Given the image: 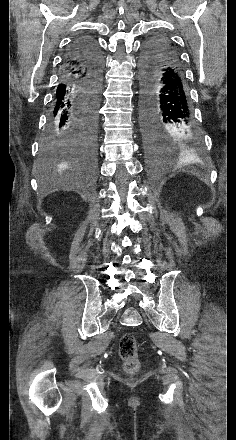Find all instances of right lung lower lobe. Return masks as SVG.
Returning a JSON list of instances; mask_svg holds the SVG:
<instances>
[{
  "label": "right lung lower lobe",
  "mask_w": 236,
  "mask_h": 440,
  "mask_svg": "<svg viewBox=\"0 0 236 440\" xmlns=\"http://www.w3.org/2000/svg\"><path fill=\"white\" fill-rule=\"evenodd\" d=\"M63 74L80 71L79 75L61 76L56 87L52 110L48 121L47 135L65 133L78 138L86 131L91 104L85 96L87 85L101 88L103 56L97 42L90 36H81L74 40L63 63ZM78 148H80L78 146ZM87 155H94L96 142L82 147Z\"/></svg>",
  "instance_id": "98d812e1"
}]
</instances>
